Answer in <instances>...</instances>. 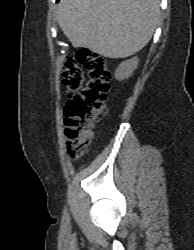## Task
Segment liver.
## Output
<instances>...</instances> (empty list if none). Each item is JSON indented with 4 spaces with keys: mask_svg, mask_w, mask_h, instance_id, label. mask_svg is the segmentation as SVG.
Here are the masks:
<instances>
[{
    "mask_svg": "<svg viewBox=\"0 0 194 250\" xmlns=\"http://www.w3.org/2000/svg\"><path fill=\"white\" fill-rule=\"evenodd\" d=\"M160 0H60L58 23L74 47L107 58H126L150 41Z\"/></svg>",
    "mask_w": 194,
    "mask_h": 250,
    "instance_id": "obj_1",
    "label": "liver"
}]
</instances>
